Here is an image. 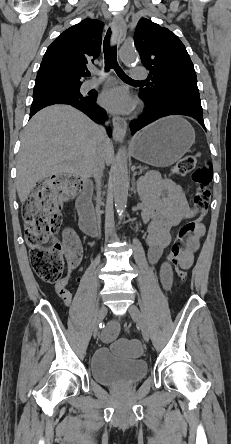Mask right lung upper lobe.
<instances>
[{
    "label": "right lung upper lobe",
    "mask_w": 231,
    "mask_h": 444,
    "mask_svg": "<svg viewBox=\"0 0 231 444\" xmlns=\"http://www.w3.org/2000/svg\"><path fill=\"white\" fill-rule=\"evenodd\" d=\"M102 27L101 21L84 19L57 37L44 54L34 90L57 84H82L86 65L100 54Z\"/></svg>",
    "instance_id": "obj_1"
}]
</instances>
